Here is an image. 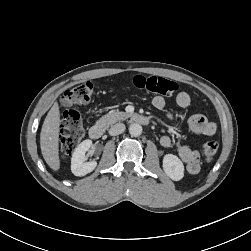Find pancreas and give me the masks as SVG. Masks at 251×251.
Returning a JSON list of instances; mask_svg holds the SVG:
<instances>
[{"label":"pancreas","mask_w":251,"mask_h":251,"mask_svg":"<svg viewBox=\"0 0 251 251\" xmlns=\"http://www.w3.org/2000/svg\"><path fill=\"white\" fill-rule=\"evenodd\" d=\"M130 114L126 112H120V111H111L107 113L106 115L102 116L96 124L103 126L104 128H108L110 125L115 124L116 122H119L121 120H125L128 118Z\"/></svg>","instance_id":"pancreas-1"}]
</instances>
